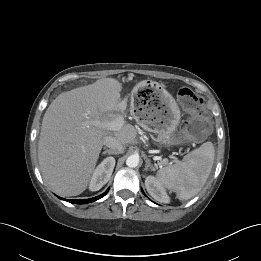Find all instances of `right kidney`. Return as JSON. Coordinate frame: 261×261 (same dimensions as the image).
<instances>
[{
	"mask_svg": "<svg viewBox=\"0 0 261 261\" xmlns=\"http://www.w3.org/2000/svg\"><path fill=\"white\" fill-rule=\"evenodd\" d=\"M114 166H115V159L113 157L105 158L101 162V164H99L96 167L89 184V189L91 191L100 190L103 187V185H105L109 181Z\"/></svg>",
	"mask_w": 261,
	"mask_h": 261,
	"instance_id": "1",
	"label": "right kidney"
}]
</instances>
